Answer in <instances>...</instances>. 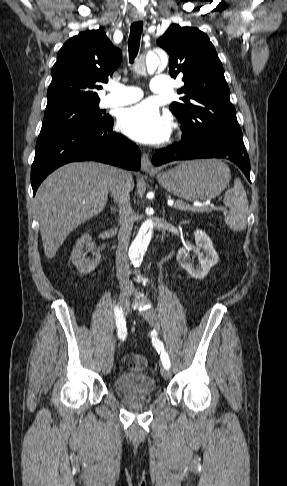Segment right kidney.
<instances>
[{"mask_svg":"<svg viewBox=\"0 0 287 486\" xmlns=\"http://www.w3.org/2000/svg\"><path fill=\"white\" fill-rule=\"evenodd\" d=\"M91 240L92 238L89 234H84L81 236V238L76 241L70 257L72 263L76 266L79 273L83 275L90 274L92 271H94L101 259L100 253L95 252V258L93 260H85L83 249L85 247H91V249H93Z\"/></svg>","mask_w":287,"mask_h":486,"instance_id":"right-kidney-1","label":"right kidney"}]
</instances>
